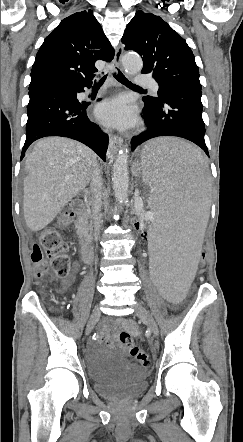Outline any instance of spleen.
I'll list each match as a JSON object with an SVG mask.
<instances>
[{
    "label": "spleen",
    "mask_w": 243,
    "mask_h": 442,
    "mask_svg": "<svg viewBox=\"0 0 243 442\" xmlns=\"http://www.w3.org/2000/svg\"><path fill=\"white\" fill-rule=\"evenodd\" d=\"M139 160L135 176L146 192H155L145 200L152 217L146 244L150 280L157 296L177 307L179 296H188L209 218L206 193L184 192H208L206 161L196 147L176 138L150 141Z\"/></svg>",
    "instance_id": "spleen-1"
}]
</instances>
